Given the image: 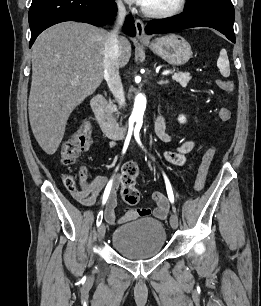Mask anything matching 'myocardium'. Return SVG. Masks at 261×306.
I'll list each match as a JSON object with an SVG mask.
<instances>
[{
    "label": "myocardium",
    "instance_id": "f54148a6",
    "mask_svg": "<svg viewBox=\"0 0 261 306\" xmlns=\"http://www.w3.org/2000/svg\"><path fill=\"white\" fill-rule=\"evenodd\" d=\"M186 4L187 0H177L176 4L172 8L166 10H151L143 6L142 12L146 16L153 18H170L180 14L184 10Z\"/></svg>",
    "mask_w": 261,
    "mask_h": 306
}]
</instances>
